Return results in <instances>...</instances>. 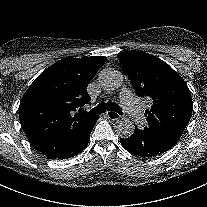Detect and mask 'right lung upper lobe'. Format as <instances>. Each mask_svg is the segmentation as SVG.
Returning a JSON list of instances; mask_svg holds the SVG:
<instances>
[{"mask_svg": "<svg viewBox=\"0 0 207 207\" xmlns=\"http://www.w3.org/2000/svg\"><path fill=\"white\" fill-rule=\"evenodd\" d=\"M106 59L64 58L43 71L25 92L19 119L28 140L42 154L56 150L94 117L81 107L90 102L87 86Z\"/></svg>", "mask_w": 207, "mask_h": 207, "instance_id": "cb5924a9", "label": "right lung upper lobe"}]
</instances>
